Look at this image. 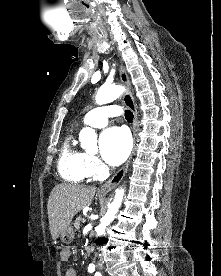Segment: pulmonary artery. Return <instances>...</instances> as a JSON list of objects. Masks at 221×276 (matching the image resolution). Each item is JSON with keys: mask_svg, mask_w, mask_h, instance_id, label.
Masks as SVG:
<instances>
[{"mask_svg": "<svg viewBox=\"0 0 221 276\" xmlns=\"http://www.w3.org/2000/svg\"><path fill=\"white\" fill-rule=\"evenodd\" d=\"M119 108L114 105L100 106L89 111L83 118V125L96 128L104 127L108 124L110 117L118 116Z\"/></svg>", "mask_w": 221, "mask_h": 276, "instance_id": "1", "label": "pulmonary artery"}]
</instances>
